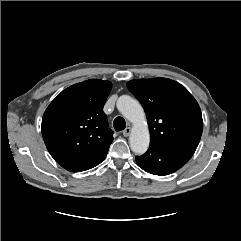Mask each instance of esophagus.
Returning a JSON list of instances; mask_svg holds the SVG:
<instances>
[{
	"mask_svg": "<svg viewBox=\"0 0 241 241\" xmlns=\"http://www.w3.org/2000/svg\"><path fill=\"white\" fill-rule=\"evenodd\" d=\"M131 133V128L130 127H127L125 130L122 131V134L127 137L129 136Z\"/></svg>",
	"mask_w": 241,
	"mask_h": 241,
	"instance_id": "1",
	"label": "esophagus"
}]
</instances>
